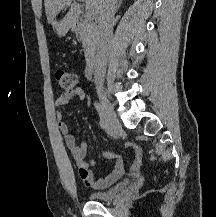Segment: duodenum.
I'll list each match as a JSON object with an SVG mask.
<instances>
[{"instance_id":"obj_1","label":"duodenum","mask_w":216,"mask_h":217,"mask_svg":"<svg viewBox=\"0 0 216 217\" xmlns=\"http://www.w3.org/2000/svg\"><path fill=\"white\" fill-rule=\"evenodd\" d=\"M75 30L79 29V24L76 23L74 25ZM88 64H87V75L92 76L94 74V71L98 65V54L94 51H91L88 53L87 56Z\"/></svg>"}]
</instances>
